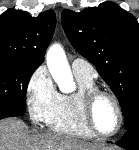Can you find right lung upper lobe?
<instances>
[{"mask_svg":"<svg viewBox=\"0 0 139 150\" xmlns=\"http://www.w3.org/2000/svg\"><path fill=\"white\" fill-rule=\"evenodd\" d=\"M56 25L54 11L32 17L24 11L8 9L0 15V60L39 66Z\"/></svg>","mask_w":139,"mask_h":150,"instance_id":"obj_1","label":"right lung upper lobe"}]
</instances>
